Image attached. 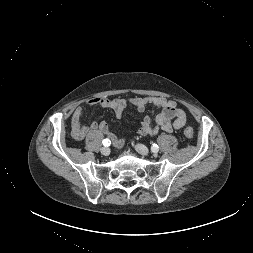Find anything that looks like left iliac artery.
Wrapping results in <instances>:
<instances>
[{"instance_id":"obj_1","label":"left iliac artery","mask_w":253,"mask_h":253,"mask_svg":"<svg viewBox=\"0 0 253 253\" xmlns=\"http://www.w3.org/2000/svg\"><path fill=\"white\" fill-rule=\"evenodd\" d=\"M151 151L154 152V153L158 152L159 151L158 145L157 144H152Z\"/></svg>"}]
</instances>
